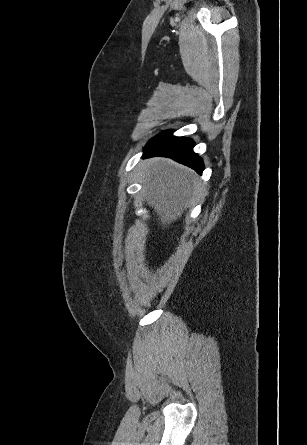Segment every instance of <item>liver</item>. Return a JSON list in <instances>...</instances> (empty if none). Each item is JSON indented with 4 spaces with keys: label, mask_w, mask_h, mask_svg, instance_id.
Listing matches in <instances>:
<instances>
[{
    "label": "liver",
    "mask_w": 307,
    "mask_h": 445,
    "mask_svg": "<svg viewBox=\"0 0 307 445\" xmlns=\"http://www.w3.org/2000/svg\"><path fill=\"white\" fill-rule=\"evenodd\" d=\"M148 204L155 208L161 223H173L187 206L199 200L203 186L197 174L167 158L150 160L145 174Z\"/></svg>",
    "instance_id": "liver-1"
}]
</instances>
